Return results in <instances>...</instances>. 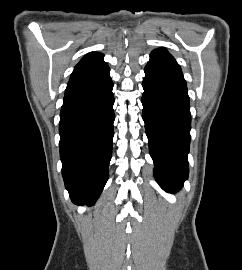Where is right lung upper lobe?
Here are the masks:
<instances>
[{
    "label": "right lung upper lobe",
    "instance_id": "right-lung-upper-lobe-1",
    "mask_svg": "<svg viewBox=\"0 0 242 270\" xmlns=\"http://www.w3.org/2000/svg\"><path fill=\"white\" fill-rule=\"evenodd\" d=\"M103 57H104V55L101 53H98V52H91V53L87 54L76 65L73 73L71 74V77L96 66L101 61H103Z\"/></svg>",
    "mask_w": 242,
    "mask_h": 270
}]
</instances>
